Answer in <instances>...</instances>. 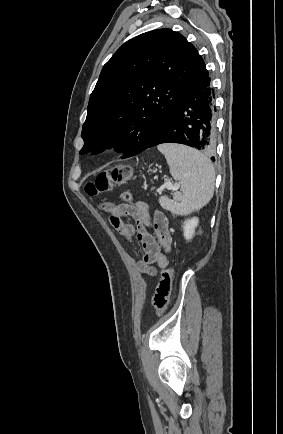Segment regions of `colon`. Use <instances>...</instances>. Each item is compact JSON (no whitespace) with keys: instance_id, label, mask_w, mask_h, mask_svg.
I'll list each match as a JSON object with an SVG mask.
<instances>
[{"instance_id":"obj_1","label":"colon","mask_w":283,"mask_h":434,"mask_svg":"<svg viewBox=\"0 0 283 434\" xmlns=\"http://www.w3.org/2000/svg\"><path fill=\"white\" fill-rule=\"evenodd\" d=\"M132 175L130 166L123 165L113 167L100 172L95 179L88 182L85 191L88 195L94 196L101 192L110 190L113 186L126 183ZM125 201L131 200V194L125 192L122 194ZM173 277V266H169L161 271L159 282L156 286L152 298V305L157 314L165 311L169 304Z\"/></svg>"}]
</instances>
